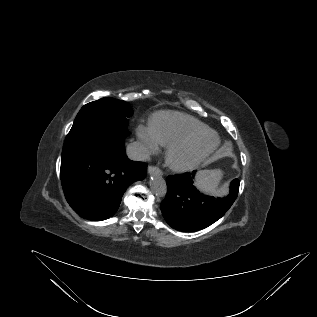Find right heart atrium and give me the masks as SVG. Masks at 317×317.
Instances as JSON below:
<instances>
[{
	"label": "right heart atrium",
	"mask_w": 317,
	"mask_h": 317,
	"mask_svg": "<svg viewBox=\"0 0 317 317\" xmlns=\"http://www.w3.org/2000/svg\"><path fill=\"white\" fill-rule=\"evenodd\" d=\"M136 136L143 155L152 154L159 149L160 145L154 137L150 126L139 124L136 127Z\"/></svg>",
	"instance_id": "obj_1"
}]
</instances>
